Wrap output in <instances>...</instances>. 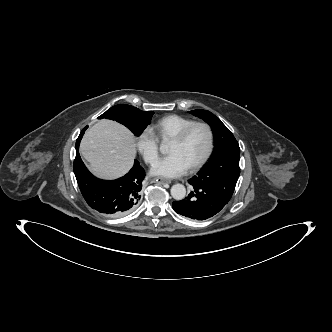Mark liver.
Here are the masks:
<instances>
[{
    "label": "liver",
    "mask_w": 332,
    "mask_h": 332,
    "mask_svg": "<svg viewBox=\"0 0 332 332\" xmlns=\"http://www.w3.org/2000/svg\"><path fill=\"white\" fill-rule=\"evenodd\" d=\"M80 152L95 176L116 179L126 174L133 165L135 139L123 125L100 120L83 136Z\"/></svg>",
    "instance_id": "1"
}]
</instances>
